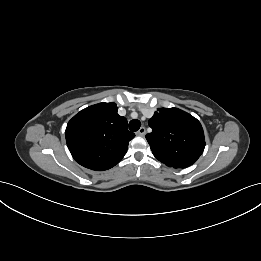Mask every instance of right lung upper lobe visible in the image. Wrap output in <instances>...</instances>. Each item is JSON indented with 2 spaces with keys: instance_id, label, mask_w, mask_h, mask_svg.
Returning <instances> with one entry per match:
<instances>
[{
  "instance_id": "obj_1",
  "label": "right lung upper lobe",
  "mask_w": 261,
  "mask_h": 261,
  "mask_svg": "<svg viewBox=\"0 0 261 261\" xmlns=\"http://www.w3.org/2000/svg\"><path fill=\"white\" fill-rule=\"evenodd\" d=\"M115 103H99L76 114L67 124L68 149L77 163L95 171L112 168L124 157L135 137Z\"/></svg>"
}]
</instances>
